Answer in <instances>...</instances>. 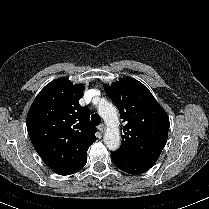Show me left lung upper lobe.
<instances>
[{"label": "left lung upper lobe", "instance_id": "left-lung-upper-lobe-1", "mask_svg": "<svg viewBox=\"0 0 209 209\" xmlns=\"http://www.w3.org/2000/svg\"><path fill=\"white\" fill-rule=\"evenodd\" d=\"M105 92L126 123L115 153L156 162L167 142L170 123L166 112L146 86L130 77L105 86Z\"/></svg>", "mask_w": 209, "mask_h": 209}]
</instances>
